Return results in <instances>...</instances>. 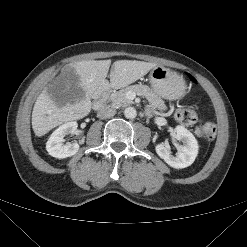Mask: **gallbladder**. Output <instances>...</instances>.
<instances>
[{"label":"gallbladder","instance_id":"1","mask_svg":"<svg viewBox=\"0 0 247 247\" xmlns=\"http://www.w3.org/2000/svg\"><path fill=\"white\" fill-rule=\"evenodd\" d=\"M78 81V77L74 75V78L69 77L67 74H60L48 87L47 92L51 98L56 100V103L65 104L75 99L77 92L81 93V90H77L75 83ZM64 97L60 99L58 97Z\"/></svg>","mask_w":247,"mask_h":247}]
</instances>
